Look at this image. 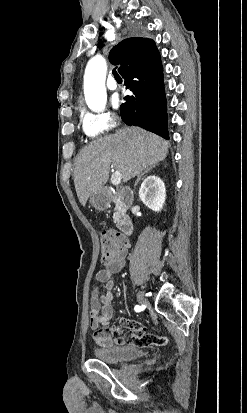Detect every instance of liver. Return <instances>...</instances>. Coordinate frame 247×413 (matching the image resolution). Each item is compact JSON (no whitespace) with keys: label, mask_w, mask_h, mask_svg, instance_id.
<instances>
[{"label":"liver","mask_w":247,"mask_h":413,"mask_svg":"<svg viewBox=\"0 0 247 413\" xmlns=\"http://www.w3.org/2000/svg\"><path fill=\"white\" fill-rule=\"evenodd\" d=\"M169 142L139 126H123L81 148L74 162V184L85 207L92 192L102 190L109 178L110 162L120 170L123 182L140 174L146 166L167 156Z\"/></svg>","instance_id":"1"}]
</instances>
